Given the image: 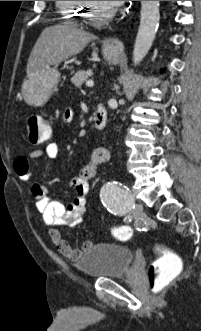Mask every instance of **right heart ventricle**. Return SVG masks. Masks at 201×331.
<instances>
[{
  "label": "right heart ventricle",
  "mask_w": 201,
  "mask_h": 331,
  "mask_svg": "<svg viewBox=\"0 0 201 331\" xmlns=\"http://www.w3.org/2000/svg\"><path fill=\"white\" fill-rule=\"evenodd\" d=\"M56 6L61 18L72 24L79 22V16L82 12L81 1H56Z\"/></svg>",
  "instance_id": "obj_1"
}]
</instances>
